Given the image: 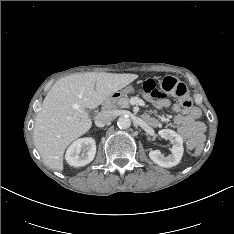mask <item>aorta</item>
I'll return each mask as SVG.
<instances>
[{
	"label": "aorta",
	"instance_id": "1",
	"mask_svg": "<svg viewBox=\"0 0 234 234\" xmlns=\"http://www.w3.org/2000/svg\"><path fill=\"white\" fill-rule=\"evenodd\" d=\"M117 125L120 129H127L131 126V119L127 115L120 116Z\"/></svg>",
	"mask_w": 234,
	"mask_h": 234
}]
</instances>
